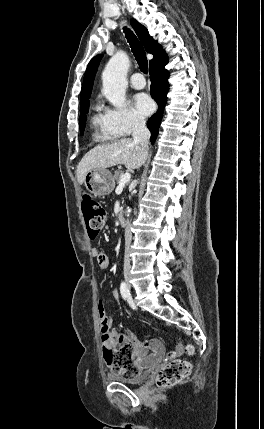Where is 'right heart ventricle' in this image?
<instances>
[{
	"instance_id": "1",
	"label": "right heart ventricle",
	"mask_w": 264,
	"mask_h": 429,
	"mask_svg": "<svg viewBox=\"0 0 264 429\" xmlns=\"http://www.w3.org/2000/svg\"><path fill=\"white\" fill-rule=\"evenodd\" d=\"M91 126L93 129V138L99 142H107L115 140L118 136L109 127L105 114L97 107L94 115L91 118Z\"/></svg>"
}]
</instances>
